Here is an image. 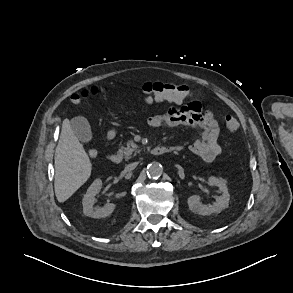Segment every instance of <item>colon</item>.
<instances>
[{
    "mask_svg": "<svg viewBox=\"0 0 293 293\" xmlns=\"http://www.w3.org/2000/svg\"><path fill=\"white\" fill-rule=\"evenodd\" d=\"M101 91L103 92L105 90L96 85H92L71 94L66 102L77 104L89 96L97 95ZM135 91L146 95L154 101L169 100L175 103H183L189 97V91L186 86L159 81L144 82L137 86ZM226 127L229 131L235 132L239 129V122L234 117L228 116L226 119ZM89 156L95 159L98 156L97 150L90 149Z\"/></svg>",
    "mask_w": 293,
    "mask_h": 293,
    "instance_id": "colon-1",
    "label": "colon"
}]
</instances>
